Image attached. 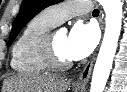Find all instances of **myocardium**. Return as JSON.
<instances>
[{"mask_svg":"<svg viewBox=\"0 0 127 92\" xmlns=\"http://www.w3.org/2000/svg\"><path fill=\"white\" fill-rule=\"evenodd\" d=\"M56 32H48L42 42V57L47 65L54 70H65L72 66L71 59L62 58L55 47L54 35Z\"/></svg>","mask_w":127,"mask_h":92,"instance_id":"myocardium-1","label":"myocardium"}]
</instances>
